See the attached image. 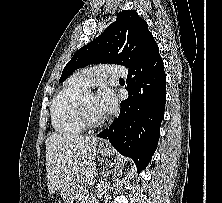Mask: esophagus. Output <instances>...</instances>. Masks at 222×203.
<instances>
[{"instance_id":"esophagus-1","label":"esophagus","mask_w":222,"mask_h":203,"mask_svg":"<svg viewBox=\"0 0 222 203\" xmlns=\"http://www.w3.org/2000/svg\"><path fill=\"white\" fill-rule=\"evenodd\" d=\"M101 145L105 146V145H108V144H107V142L104 141V142L101 143Z\"/></svg>"}]
</instances>
